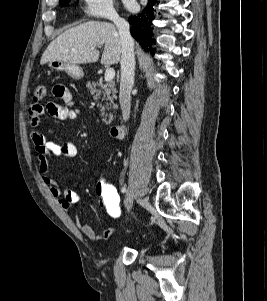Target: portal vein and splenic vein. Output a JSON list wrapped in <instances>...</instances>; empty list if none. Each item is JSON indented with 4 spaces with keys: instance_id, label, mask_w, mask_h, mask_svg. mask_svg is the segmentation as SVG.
<instances>
[{
    "instance_id": "portal-vein-and-splenic-vein-1",
    "label": "portal vein and splenic vein",
    "mask_w": 267,
    "mask_h": 301,
    "mask_svg": "<svg viewBox=\"0 0 267 301\" xmlns=\"http://www.w3.org/2000/svg\"><path fill=\"white\" fill-rule=\"evenodd\" d=\"M115 77V71L113 68H107L105 71V80L107 82H110L114 79Z\"/></svg>"
}]
</instances>
